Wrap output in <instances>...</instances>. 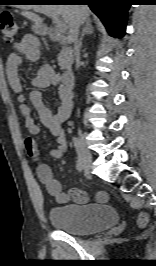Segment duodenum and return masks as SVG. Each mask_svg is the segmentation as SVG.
<instances>
[{"label":"duodenum","mask_w":156,"mask_h":266,"mask_svg":"<svg viewBox=\"0 0 156 266\" xmlns=\"http://www.w3.org/2000/svg\"><path fill=\"white\" fill-rule=\"evenodd\" d=\"M46 35L47 37L52 41H60V42H66V37L59 32L57 29L53 27H48L46 29ZM63 88L66 91H71L74 83V75L73 72L68 69L66 70L61 77Z\"/></svg>","instance_id":"410a0bca"}]
</instances>
